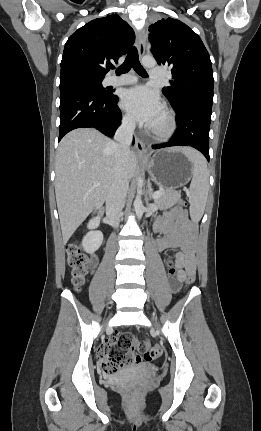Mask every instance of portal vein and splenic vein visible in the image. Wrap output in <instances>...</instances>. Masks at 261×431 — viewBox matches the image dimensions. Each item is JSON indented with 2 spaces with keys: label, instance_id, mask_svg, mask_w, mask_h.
<instances>
[{
  "label": "portal vein and splenic vein",
  "instance_id": "1",
  "mask_svg": "<svg viewBox=\"0 0 261 431\" xmlns=\"http://www.w3.org/2000/svg\"><path fill=\"white\" fill-rule=\"evenodd\" d=\"M93 186H94V187H98V186H100V183H99V182H95V183L93 184ZM161 194H162V191H161V190L156 191V192L153 194V199L158 198L159 196H161Z\"/></svg>",
  "mask_w": 261,
  "mask_h": 431
}]
</instances>
